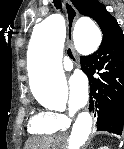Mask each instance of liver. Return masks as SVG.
I'll use <instances>...</instances> for the list:
<instances>
[{
    "label": "liver",
    "mask_w": 124,
    "mask_h": 149,
    "mask_svg": "<svg viewBox=\"0 0 124 149\" xmlns=\"http://www.w3.org/2000/svg\"><path fill=\"white\" fill-rule=\"evenodd\" d=\"M51 143V138L34 137L27 141L25 149H50Z\"/></svg>",
    "instance_id": "6515ba94"
}]
</instances>
